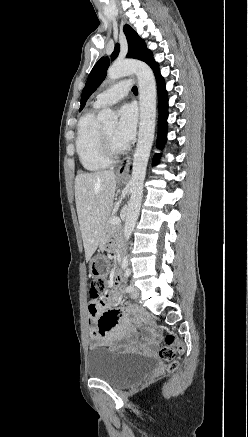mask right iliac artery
<instances>
[{
    "label": "right iliac artery",
    "instance_id": "82829eb1",
    "mask_svg": "<svg viewBox=\"0 0 248 437\" xmlns=\"http://www.w3.org/2000/svg\"><path fill=\"white\" fill-rule=\"evenodd\" d=\"M127 265H128L127 260H124L122 263V269H125L127 267Z\"/></svg>",
    "mask_w": 248,
    "mask_h": 437
}]
</instances>
